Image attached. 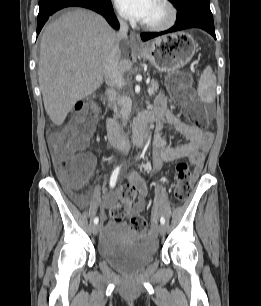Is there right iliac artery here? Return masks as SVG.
Masks as SVG:
<instances>
[{"instance_id": "1", "label": "right iliac artery", "mask_w": 261, "mask_h": 306, "mask_svg": "<svg viewBox=\"0 0 261 306\" xmlns=\"http://www.w3.org/2000/svg\"><path fill=\"white\" fill-rule=\"evenodd\" d=\"M120 171V167H117L116 169H114V171L112 172L111 178H110V187L113 188L116 184L117 181V177ZM99 222L98 217L94 218V224H97Z\"/></svg>"}]
</instances>
